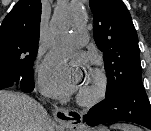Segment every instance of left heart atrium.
<instances>
[{
    "mask_svg": "<svg viewBox=\"0 0 151 131\" xmlns=\"http://www.w3.org/2000/svg\"><path fill=\"white\" fill-rule=\"evenodd\" d=\"M86 79V64L79 55L52 54L40 70L41 89L51 97H65L77 92Z\"/></svg>",
    "mask_w": 151,
    "mask_h": 131,
    "instance_id": "left-heart-atrium-1",
    "label": "left heart atrium"
}]
</instances>
